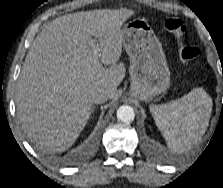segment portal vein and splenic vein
<instances>
[{
	"mask_svg": "<svg viewBox=\"0 0 223 188\" xmlns=\"http://www.w3.org/2000/svg\"><path fill=\"white\" fill-rule=\"evenodd\" d=\"M89 44L91 46L93 56L98 57L100 55V52L98 47L96 46V40L91 39Z\"/></svg>",
	"mask_w": 223,
	"mask_h": 188,
	"instance_id": "1",
	"label": "portal vein and splenic vein"
}]
</instances>
